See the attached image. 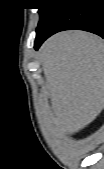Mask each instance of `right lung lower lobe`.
Listing matches in <instances>:
<instances>
[{
  "label": "right lung lower lobe",
  "mask_w": 104,
  "mask_h": 169,
  "mask_svg": "<svg viewBox=\"0 0 104 169\" xmlns=\"http://www.w3.org/2000/svg\"><path fill=\"white\" fill-rule=\"evenodd\" d=\"M69 29L89 31L104 38V0H65L36 31L35 49L54 33Z\"/></svg>",
  "instance_id": "right-lung-lower-lobe-1"
}]
</instances>
